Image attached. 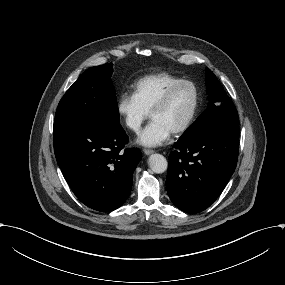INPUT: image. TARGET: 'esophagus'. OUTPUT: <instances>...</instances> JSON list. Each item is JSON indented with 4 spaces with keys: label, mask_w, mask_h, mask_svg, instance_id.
I'll use <instances>...</instances> for the list:
<instances>
[{
    "label": "esophagus",
    "mask_w": 285,
    "mask_h": 285,
    "mask_svg": "<svg viewBox=\"0 0 285 285\" xmlns=\"http://www.w3.org/2000/svg\"><path fill=\"white\" fill-rule=\"evenodd\" d=\"M143 152L145 155H150L154 153V150L144 149Z\"/></svg>",
    "instance_id": "esophagus-1"
}]
</instances>
